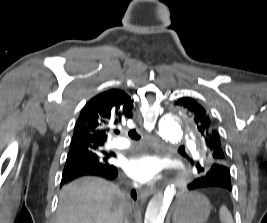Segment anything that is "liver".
<instances>
[{
    "instance_id": "1",
    "label": "liver",
    "mask_w": 267,
    "mask_h": 223,
    "mask_svg": "<svg viewBox=\"0 0 267 223\" xmlns=\"http://www.w3.org/2000/svg\"><path fill=\"white\" fill-rule=\"evenodd\" d=\"M129 206L115 184L85 177L62 188L55 223H123Z\"/></svg>"
}]
</instances>
